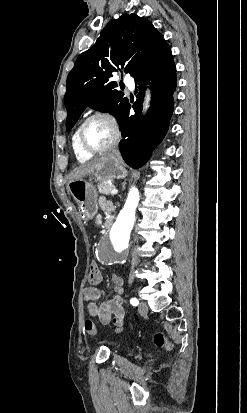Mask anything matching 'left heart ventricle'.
Listing matches in <instances>:
<instances>
[{
	"mask_svg": "<svg viewBox=\"0 0 247 413\" xmlns=\"http://www.w3.org/2000/svg\"><path fill=\"white\" fill-rule=\"evenodd\" d=\"M113 135V126L108 121L94 120L85 127L82 139L87 147L98 149L108 144Z\"/></svg>",
	"mask_w": 247,
	"mask_h": 413,
	"instance_id": "left-heart-ventricle-1",
	"label": "left heart ventricle"
}]
</instances>
